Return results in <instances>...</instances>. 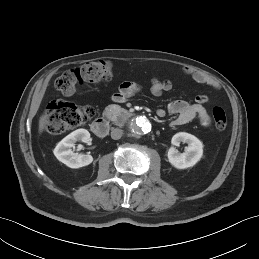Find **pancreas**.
Instances as JSON below:
<instances>
[{
  "mask_svg": "<svg viewBox=\"0 0 259 259\" xmlns=\"http://www.w3.org/2000/svg\"><path fill=\"white\" fill-rule=\"evenodd\" d=\"M103 114L108 119L118 123V117H121V119H123V117L127 116L129 113L118 105H110L105 109Z\"/></svg>",
  "mask_w": 259,
  "mask_h": 259,
  "instance_id": "pancreas-1",
  "label": "pancreas"
}]
</instances>
